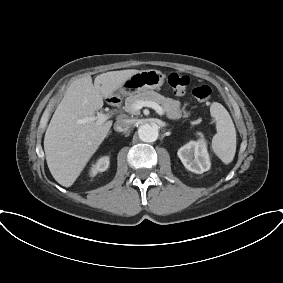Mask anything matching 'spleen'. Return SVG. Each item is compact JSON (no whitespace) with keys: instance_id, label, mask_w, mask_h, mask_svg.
I'll use <instances>...</instances> for the list:
<instances>
[{"instance_id":"1","label":"spleen","mask_w":283,"mask_h":283,"mask_svg":"<svg viewBox=\"0 0 283 283\" xmlns=\"http://www.w3.org/2000/svg\"><path fill=\"white\" fill-rule=\"evenodd\" d=\"M210 114L217 130L212 139L213 152L224 164H229L236 152V130L233 121L225 107L217 102L211 104Z\"/></svg>"}]
</instances>
